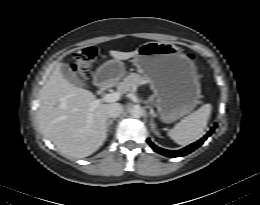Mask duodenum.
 <instances>
[{
    "mask_svg": "<svg viewBox=\"0 0 260 205\" xmlns=\"http://www.w3.org/2000/svg\"><path fill=\"white\" fill-rule=\"evenodd\" d=\"M95 81L97 83V87L100 91H105L110 87V82L106 80L104 76L101 74H97L95 77Z\"/></svg>",
    "mask_w": 260,
    "mask_h": 205,
    "instance_id": "1",
    "label": "duodenum"
}]
</instances>
